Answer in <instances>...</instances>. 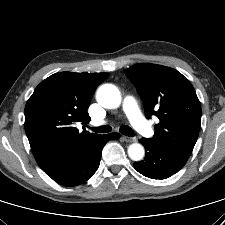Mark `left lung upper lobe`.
<instances>
[{
	"label": "left lung upper lobe",
	"instance_id": "5c2ea615",
	"mask_svg": "<svg viewBox=\"0 0 225 225\" xmlns=\"http://www.w3.org/2000/svg\"><path fill=\"white\" fill-rule=\"evenodd\" d=\"M125 74L143 100L145 116L159 118L149 140L189 158L201 122V105L192 84L177 70L155 64L139 63Z\"/></svg>",
	"mask_w": 225,
	"mask_h": 225
}]
</instances>
